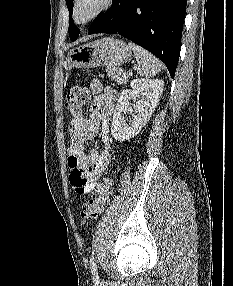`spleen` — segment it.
<instances>
[{
	"label": "spleen",
	"mask_w": 233,
	"mask_h": 286,
	"mask_svg": "<svg viewBox=\"0 0 233 286\" xmlns=\"http://www.w3.org/2000/svg\"><path fill=\"white\" fill-rule=\"evenodd\" d=\"M128 45L134 52L138 63L137 71L140 75L149 77L161 71V62L153 54L132 42Z\"/></svg>",
	"instance_id": "obj_1"
}]
</instances>
